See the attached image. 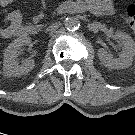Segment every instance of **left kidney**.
Instances as JSON below:
<instances>
[{
  "label": "left kidney",
  "mask_w": 135,
  "mask_h": 135,
  "mask_svg": "<svg viewBox=\"0 0 135 135\" xmlns=\"http://www.w3.org/2000/svg\"><path fill=\"white\" fill-rule=\"evenodd\" d=\"M115 38L123 45L122 54L119 58H114L107 52L106 49L100 48L98 50V57L103 65L111 69H123L132 65L133 57L135 55V42L127 34L122 31L115 32Z\"/></svg>",
  "instance_id": "obj_1"
}]
</instances>
